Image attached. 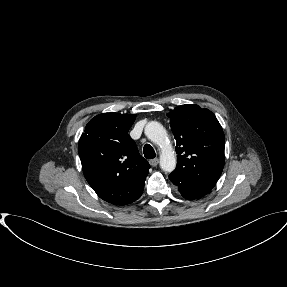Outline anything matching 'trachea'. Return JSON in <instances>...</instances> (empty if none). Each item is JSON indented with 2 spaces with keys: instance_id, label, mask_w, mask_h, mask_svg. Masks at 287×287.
<instances>
[{
  "instance_id": "3493384b",
  "label": "trachea",
  "mask_w": 287,
  "mask_h": 287,
  "mask_svg": "<svg viewBox=\"0 0 287 287\" xmlns=\"http://www.w3.org/2000/svg\"><path fill=\"white\" fill-rule=\"evenodd\" d=\"M143 153H144L145 158H147V159H153L156 156V153H155L153 147L149 144L144 145Z\"/></svg>"
}]
</instances>
